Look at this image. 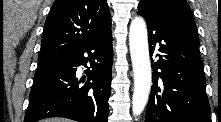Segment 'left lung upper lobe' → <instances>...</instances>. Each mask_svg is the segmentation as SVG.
<instances>
[{"label": "left lung upper lobe", "mask_w": 221, "mask_h": 122, "mask_svg": "<svg viewBox=\"0 0 221 122\" xmlns=\"http://www.w3.org/2000/svg\"><path fill=\"white\" fill-rule=\"evenodd\" d=\"M141 2L155 4L168 17L187 18L195 24L190 7L185 0H141Z\"/></svg>", "instance_id": "obj_1"}]
</instances>
